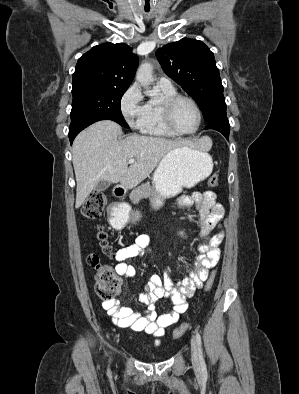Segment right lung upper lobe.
Wrapping results in <instances>:
<instances>
[{"mask_svg":"<svg viewBox=\"0 0 299 394\" xmlns=\"http://www.w3.org/2000/svg\"><path fill=\"white\" fill-rule=\"evenodd\" d=\"M138 63V57L126 44L108 42L94 46L78 59L72 86L100 85L128 88Z\"/></svg>","mask_w":299,"mask_h":394,"instance_id":"1","label":"right lung upper lobe"}]
</instances>
